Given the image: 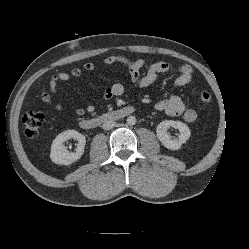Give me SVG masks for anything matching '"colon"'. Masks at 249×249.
<instances>
[{"label": "colon", "instance_id": "5ec220e1", "mask_svg": "<svg viewBox=\"0 0 249 249\" xmlns=\"http://www.w3.org/2000/svg\"><path fill=\"white\" fill-rule=\"evenodd\" d=\"M200 98L207 103L211 100V93L208 90H203L200 93ZM45 114L41 110H29L23 116L22 122L24 133L28 138H36L40 132L44 122Z\"/></svg>", "mask_w": 249, "mask_h": 249}]
</instances>
